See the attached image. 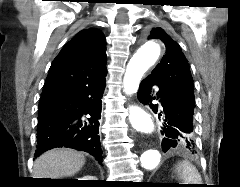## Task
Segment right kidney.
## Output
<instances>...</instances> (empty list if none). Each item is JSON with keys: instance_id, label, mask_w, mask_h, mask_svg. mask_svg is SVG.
Masks as SVG:
<instances>
[{"instance_id": "obj_1", "label": "right kidney", "mask_w": 240, "mask_h": 187, "mask_svg": "<svg viewBox=\"0 0 240 187\" xmlns=\"http://www.w3.org/2000/svg\"><path fill=\"white\" fill-rule=\"evenodd\" d=\"M78 180H96L94 176H84L83 178H79Z\"/></svg>"}]
</instances>
